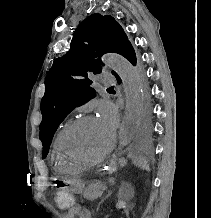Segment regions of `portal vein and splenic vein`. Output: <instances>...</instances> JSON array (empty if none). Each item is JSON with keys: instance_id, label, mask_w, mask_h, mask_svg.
Returning a JSON list of instances; mask_svg holds the SVG:
<instances>
[{"instance_id": "portal-vein-and-splenic-vein-1", "label": "portal vein and splenic vein", "mask_w": 211, "mask_h": 218, "mask_svg": "<svg viewBox=\"0 0 211 218\" xmlns=\"http://www.w3.org/2000/svg\"><path fill=\"white\" fill-rule=\"evenodd\" d=\"M106 190H107V186H104L103 191H106Z\"/></svg>"}]
</instances>
